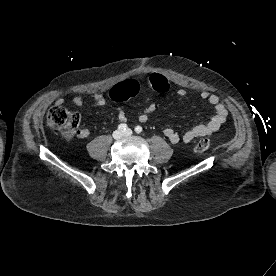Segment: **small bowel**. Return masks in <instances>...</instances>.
<instances>
[{
    "mask_svg": "<svg viewBox=\"0 0 276 276\" xmlns=\"http://www.w3.org/2000/svg\"><path fill=\"white\" fill-rule=\"evenodd\" d=\"M148 85L153 90L159 92H165L168 90V85L165 82V79L152 74L148 77ZM126 93L127 98L136 96L140 91V83L135 79H129L125 81L122 85L119 86ZM178 95L184 96L186 94L185 88H179L177 91ZM200 98L208 102L214 109V115L210 118L209 121L200 123L193 128L187 130L183 134H179L173 128L166 127L163 129V134L165 137L172 143L177 144L179 142L191 143L193 140L211 135L216 132L221 125L225 122L228 111L225 104L220 100V98L208 91H201L199 94ZM86 97H90L93 101L94 107H103L109 104L106 97L97 91H90L86 94H80L73 98V103L76 106H82L85 102ZM62 98L57 100L58 104L63 103ZM156 110L155 103H150L142 112L138 114V120L140 122H146L149 118V115ZM117 116L120 121H126V114L123 109L117 107ZM77 137L80 139H85L90 135L88 129L83 128L77 130Z\"/></svg>",
    "mask_w": 276,
    "mask_h": 276,
    "instance_id": "obj_1",
    "label": "small bowel"
}]
</instances>
